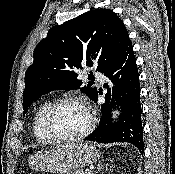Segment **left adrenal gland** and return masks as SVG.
Listing matches in <instances>:
<instances>
[{
  "label": "left adrenal gland",
  "instance_id": "a2214340",
  "mask_svg": "<svg viewBox=\"0 0 175 174\" xmlns=\"http://www.w3.org/2000/svg\"><path fill=\"white\" fill-rule=\"evenodd\" d=\"M103 169V165H102V162L99 161L98 165H97V168L94 172V174H97L99 171H101Z\"/></svg>",
  "mask_w": 175,
  "mask_h": 174
}]
</instances>
